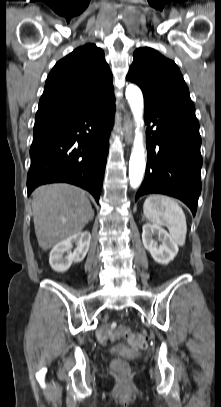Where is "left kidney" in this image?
Returning a JSON list of instances; mask_svg holds the SVG:
<instances>
[{
	"label": "left kidney",
	"instance_id": "obj_1",
	"mask_svg": "<svg viewBox=\"0 0 221 407\" xmlns=\"http://www.w3.org/2000/svg\"><path fill=\"white\" fill-rule=\"evenodd\" d=\"M142 229L143 245L157 263L168 264L175 258L178 253V244L164 228L156 224L146 223ZM154 236H158L161 244L154 240Z\"/></svg>",
	"mask_w": 221,
	"mask_h": 407
}]
</instances>
